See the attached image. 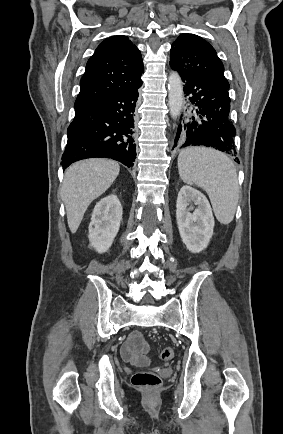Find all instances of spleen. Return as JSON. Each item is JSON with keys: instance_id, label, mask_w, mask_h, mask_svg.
<instances>
[{"instance_id": "1", "label": "spleen", "mask_w": 283, "mask_h": 434, "mask_svg": "<svg viewBox=\"0 0 283 434\" xmlns=\"http://www.w3.org/2000/svg\"><path fill=\"white\" fill-rule=\"evenodd\" d=\"M178 170L185 183L196 184L207 192L220 223L229 224L233 220L239 186L235 165L229 157L209 148H187L178 156Z\"/></svg>"}]
</instances>
